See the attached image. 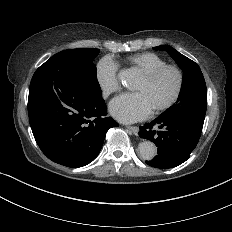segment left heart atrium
Segmentation results:
<instances>
[{"label": "left heart atrium", "instance_id": "1", "mask_svg": "<svg viewBox=\"0 0 232 232\" xmlns=\"http://www.w3.org/2000/svg\"><path fill=\"white\" fill-rule=\"evenodd\" d=\"M155 108L145 92L125 93L109 104L110 114L124 123H133L148 118Z\"/></svg>", "mask_w": 232, "mask_h": 232}]
</instances>
